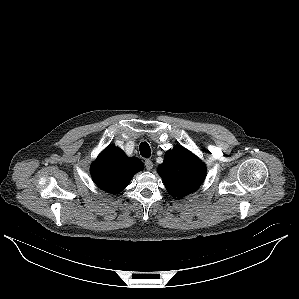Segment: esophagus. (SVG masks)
<instances>
[{
  "instance_id": "obj_1",
  "label": "esophagus",
  "mask_w": 299,
  "mask_h": 299,
  "mask_svg": "<svg viewBox=\"0 0 299 299\" xmlns=\"http://www.w3.org/2000/svg\"><path fill=\"white\" fill-rule=\"evenodd\" d=\"M145 168L150 171L153 168V162L149 159L145 160L144 162Z\"/></svg>"
}]
</instances>
